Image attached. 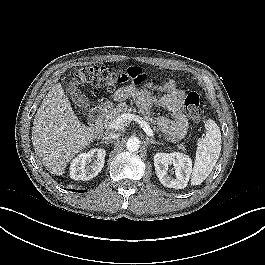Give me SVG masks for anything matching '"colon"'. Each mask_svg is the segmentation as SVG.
I'll use <instances>...</instances> for the list:
<instances>
[{"label":"colon","mask_w":265,"mask_h":265,"mask_svg":"<svg viewBox=\"0 0 265 265\" xmlns=\"http://www.w3.org/2000/svg\"><path fill=\"white\" fill-rule=\"evenodd\" d=\"M146 80L138 69H129L127 73L110 71L103 66H88L78 69L72 75L74 85H93L103 87L108 91L115 90L118 86L131 81L141 84ZM185 111L193 123H199L203 118V109L200 96L196 92L188 93L185 99Z\"/></svg>","instance_id":"obj_1"}]
</instances>
